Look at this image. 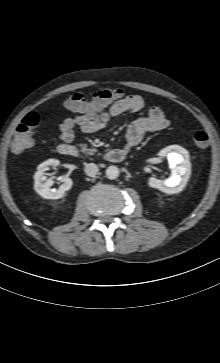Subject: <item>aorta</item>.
<instances>
[{
  "instance_id": "aorta-1",
  "label": "aorta",
  "mask_w": 220,
  "mask_h": 363,
  "mask_svg": "<svg viewBox=\"0 0 220 363\" xmlns=\"http://www.w3.org/2000/svg\"><path fill=\"white\" fill-rule=\"evenodd\" d=\"M119 176V168L111 165L106 169V177L110 180H114Z\"/></svg>"
}]
</instances>
